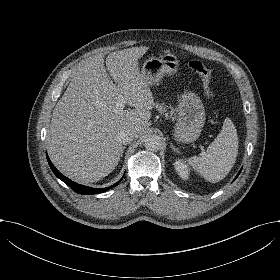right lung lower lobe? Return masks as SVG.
<instances>
[{
  "mask_svg": "<svg viewBox=\"0 0 280 280\" xmlns=\"http://www.w3.org/2000/svg\"><path fill=\"white\" fill-rule=\"evenodd\" d=\"M48 163L50 165V168L52 169V171L54 172V174L60 179L62 180L64 183H66L73 191H75L78 194H85V195H91V194H96V193H101V192H105L115 186H117L119 184V182L115 183L114 185L107 187V188H101V189H97V188H91V187H87V186H83L80 184H77L73 181H71L70 179H68L67 177L63 176L56 168L55 166L51 163L48 155H46Z\"/></svg>",
  "mask_w": 280,
  "mask_h": 280,
  "instance_id": "98d812e1",
  "label": "right lung lower lobe"
}]
</instances>
